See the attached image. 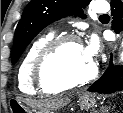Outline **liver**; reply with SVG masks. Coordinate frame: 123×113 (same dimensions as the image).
Here are the masks:
<instances>
[{
  "instance_id": "6515ba94",
  "label": "liver",
  "mask_w": 123,
  "mask_h": 113,
  "mask_svg": "<svg viewBox=\"0 0 123 113\" xmlns=\"http://www.w3.org/2000/svg\"><path fill=\"white\" fill-rule=\"evenodd\" d=\"M29 105H32L39 109L43 113H49L50 111L66 106L69 102V98L55 99L51 101H30L24 100Z\"/></svg>"
}]
</instances>
